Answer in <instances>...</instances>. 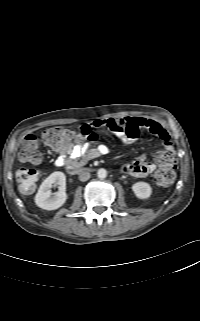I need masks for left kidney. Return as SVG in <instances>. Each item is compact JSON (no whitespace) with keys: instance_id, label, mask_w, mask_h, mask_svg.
I'll return each instance as SVG.
<instances>
[{"instance_id":"1","label":"left kidney","mask_w":200,"mask_h":321,"mask_svg":"<svg viewBox=\"0 0 200 321\" xmlns=\"http://www.w3.org/2000/svg\"><path fill=\"white\" fill-rule=\"evenodd\" d=\"M132 190L137 198L148 199L152 194L151 186L146 182H136L132 186Z\"/></svg>"}]
</instances>
